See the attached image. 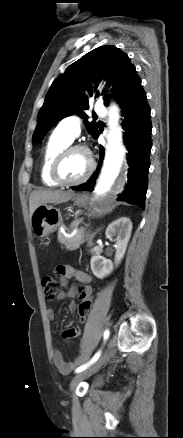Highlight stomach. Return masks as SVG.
Masks as SVG:
<instances>
[{
    "instance_id": "1",
    "label": "stomach",
    "mask_w": 183,
    "mask_h": 438,
    "mask_svg": "<svg viewBox=\"0 0 183 438\" xmlns=\"http://www.w3.org/2000/svg\"><path fill=\"white\" fill-rule=\"evenodd\" d=\"M88 197L78 194L73 197V202L77 206H84ZM63 222L59 209L51 205H40L31 216V227L34 234L40 239H48Z\"/></svg>"
}]
</instances>
